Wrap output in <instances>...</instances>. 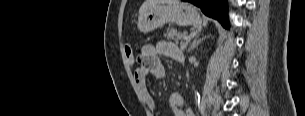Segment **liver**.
<instances>
[{
	"label": "liver",
	"mask_w": 305,
	"mask_h": 116,
	"mask_svg": "<svg viewBox=\"0 0 305 116\" xmlns=\"http://www.w3.org/2000/svg\"><path fill=\"white\" fill-rule=\"evenodd\" d=\"M179 0H145L139 9V17L151 6L156 4L178 3Z\"/></svg>",
	"instance_id": "liver-1"
}]
</instances>
